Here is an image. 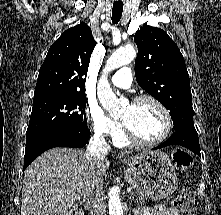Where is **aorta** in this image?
<instances>
[{"label": "aorta", "mask_w": 221, "mask_h": 215, "mask_svg": "<svg viewBox=\"0 0 221 215\" xmlns=\"http://www.w3.org/2000/svg\"><path fill=\"white\" fill-rule=\"evenodd\" d=\"M135 57L136 51L130 46L116 50L107 60L104 75L101 76L98 84L97 94L101 105L111 116L118 114L120 110V102L110 88L106 73L131 63ZM108 197L109 215H123L119 189L116 187L110 188Z\"/></svg>", "instance_id": "obj_1"}]
</instances>
